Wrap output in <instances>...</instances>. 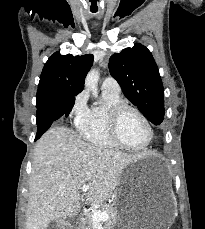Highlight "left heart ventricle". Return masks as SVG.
<instances>
[{
	"label": "left heart ventricle",
	"instance_id": "b2bd125f",
	"mask_svg": "<svg viewBox=\"0 0 205 229\" xmlns=\"http://www.w3.org/2000/svg\"><path fill=\"white\" fill-rule=\"evenodd\" d=\"M120 137L130 146L138 147L148 139V130L144 122L131 111L126 112L120 122Z\"/></svg>",
	"mask_w": 205,
	"mask_h": 229
}]
</instances>
